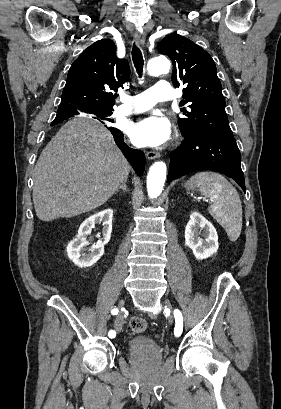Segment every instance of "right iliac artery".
I'll return each instance as SVG.
<instances>
[{"instance_id":"obj_1","label":"right iliac artery","mask_w":281,"mask_h":409,"mask_svg":"<svg viewBox=\"0 0 281 409\" xmlns=\"http://www.w3.org/2000/svg\"><path fill=\"white\" fill-rule=\"evenodd\" d=\"M111 313H112L113 315H116V314L118 313V309H116V308L113 309V310L111 311ZM115 335H116V333H115V331H113V330H111V331L108 333V336L111 337V338H114Z\"/></svg>"}]
</instances>
